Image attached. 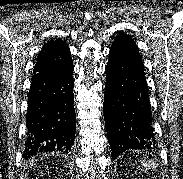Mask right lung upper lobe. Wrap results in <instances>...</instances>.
Here are the masks:
<instances>
[{"label":"right lung upper lobe","mask_w":183,"mask_h":179,"mask_svg":"<svg viewBox=\"0 0 183 179\" xmlns=\"http://www.w3.org/2000/svg\"><path fill=\"white\" fill-rule=\"evenodd\" d=\"M73 67L71 52L67 44L60 40L46 42L38 54L34 73L64 72Z\"/></svg>","instance_id":"obj_1"}]
</instances>
